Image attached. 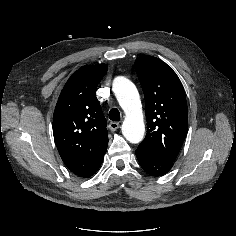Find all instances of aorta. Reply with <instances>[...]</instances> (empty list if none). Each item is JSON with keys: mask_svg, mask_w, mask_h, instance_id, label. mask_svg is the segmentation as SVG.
Returning a JSON list of instances; mask_svg holds the SVG:
<instances>
[{"mask_svg": "<svg viewBox=\"0 0 236 236\" xmlns=\"http://www.w3.org/2000/svg\"><path fill=\"white\" fill-rule=\"evenodd\" d=\"M116 98L125 112L122 134L131 143L142 141L145 125L139 93L135 85L125 77H117L113 82Z\"/></svg>", "mask_w": 236, "mask_h": 236, "instance_id": "obj_1", "label": "aorta"}]
</instances>
